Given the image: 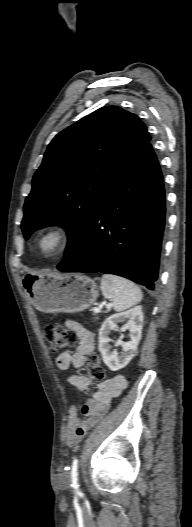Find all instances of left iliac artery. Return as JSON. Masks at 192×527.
I'll return each mask as SVG.
<instances>
[{
    "instance_id": "left-iliac-artery-1",
    "label": "left iliac artery",
    "mask_w": 192,
    "mask_h": 527,
    "mask_svg": "<svg viewBox=\"0 0 192 527\" xmlns=\"http://www.w3.org/2000/svg\"><path fill=\"white\" fill-rule=\"evenodd\" d=\"M71 480H72L73 488L78 489L79 481H78V459L77 458H75L72 463Z\"/></svg>"
}]
</instances>
